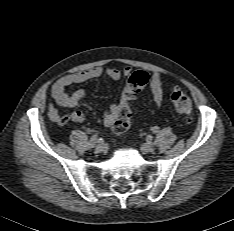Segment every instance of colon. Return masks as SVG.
Segmentation results:
<instances>
[{
	"label": "colon",
	"mask_w": 234,
	"mask_h": 231,
	"mask_svg": "<svg viewBox=\"0 0 234 231\" xmlns=\"http://www.w3.org/2000/svg\"><path fill=\"white\" fill-rule=\"evenodd\" d=\"M148 81L149 76L143 71H137L128 78L121 96L119 112L114 123L115 131L123 132L130 127L132 121V103L134 102L137 93L147 85ZM171 101L180 114L186 116L191 114V99L183 91L174 90L171 93Z\"/></svg>",
	"instance_id": "obj_1"
}]
</instances>
